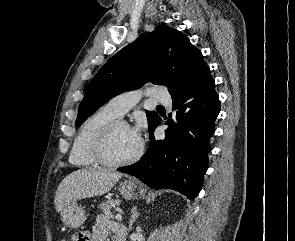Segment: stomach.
<instances>
[{
    "mask_svg": "<svg viewBox=\"0 0 295 241\" xmlns=\"http://www.w3.org/2000/svg\"><path fill=\"white\" fill-rule=\"evenodd\" d=\"M120 194L128 200H134L144 195L142 186L133 179L125 180L119 185ZM87 216L84 208L76 202L69 204L61 211V220L67 227L77 229L81 227Z\"/></svg>",
    "mask_w": 295,
    "mask_h": 241,
    "instance_id": "obj_1",
    "label": "stomach"
}]
</instances>
